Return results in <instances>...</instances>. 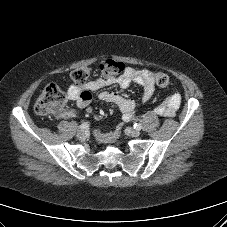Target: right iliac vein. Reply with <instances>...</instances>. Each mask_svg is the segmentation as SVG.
Segmentation results:
<instances>
[{
	"label": "right iliac vein",
	"instance_id": "obj_1",
	"mask_svg": "<svg viewBox=\"0 0 227 227\" xmlns=\"http://www.w3.org/2000/svg\"><path fill=\"white\" fill-rule=\"evenodd\" d=\"M77 138H78L79 140L85 139V138H86V131H84V130L78 131V133H77Z\"/></svg>",
	"mask_w": 227,
	"mask_h": 227
}]
</instances>
